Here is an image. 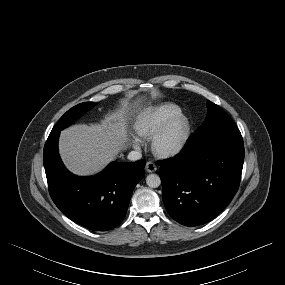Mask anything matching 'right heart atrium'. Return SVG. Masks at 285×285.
<instances>
[{
    "label": "right heart atrium",
    "mask_w": 285,
    "mask_h": 285,
    "mask_svg": "<svg viewBox=\"0 0 285 285\" xmlns=\"http://www.w3.org/2000/svg\"><path fill=\"white\" fill-rule=\"evenodd\" d=\"M133 143H134L136 146L139 145V141H138L136 138L133 139Z\"/></svg>",
    "instance_id": "obj_1"
}]
</instances>
